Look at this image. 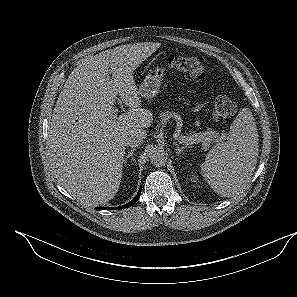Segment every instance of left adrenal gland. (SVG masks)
<instances>
[{"mask_svg":"<svg viewBox=\"0 0 297 297\" xmlns=\"http://www.w3.org/2000/svg\"><path fill=\"white\" fill-rule=\"evenodd\" d=\"M174 145L176 146V154L177 155H180L184 151V149L188 148V146L179 147V145L177 143H174Z\"/></svg>","mask_w":297,"mask_h":297,"instance_id":"a2214340","label":"left adrenal gland"}]
</instances>
